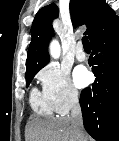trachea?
Instances as JSON below:
<instances>
[{"label":"trachea","instance_id":"trachea-1","mask_svg":"<svg viewBox=\"0 0 119 141\" xmlns=\"http://www.w3.org/2000/svg\"><path fill=\"white\" fill-rule=\"evenodd\" d=\"M82 43H83L84 49H91V45L89 43V40H88V37L87 36H84L82 38Z\"/></svg>","mask_w":119,"mask_h":141}]
</instances>
